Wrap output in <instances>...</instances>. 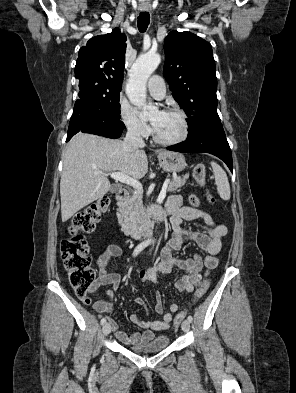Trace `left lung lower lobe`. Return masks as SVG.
<instances>
[{
    "label": "left lung lower lobe",
    "mask_w": 296,
    "mask_h": 393,
    "mask_svg": "<svg viewBox=\"0 0 296 393\" xmlns=\"http://www.w3.org/2000/svg\"><path fill=\"white\" fill-rule=\"evenodd\" d=\"M170 151L210 153L223 160L233 172L232 154L222 124H211L174 146L167 147Z\"/></svg>",
    "instance_id": "obj_1"
}]
</instances>
